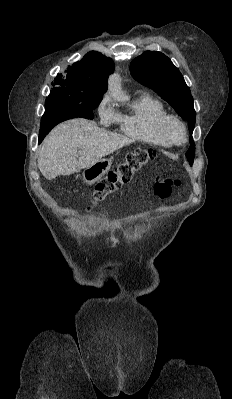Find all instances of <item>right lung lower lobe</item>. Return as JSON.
<instances>
[{
	"label": "right lung lower lobe",
	"instance_id": "right-lung-lower-lobe-1",
	"mask_svg": "<svg viewBox=\"0 0 232 399\" xmlns=\"http://www.w3.org/2000/svg\"><path fill=\"white\" fill-rule=\"evenodd\" d=\"M86 118L93 119L92 113H74L64 110L59 107H46L45 113L41 119L40 131H39V143L42 142L44 137L51 131L57 124L73 118Z\"/></svg>",
	"mask_w": 232,
	"mask_h": 399
}]
</instances>
